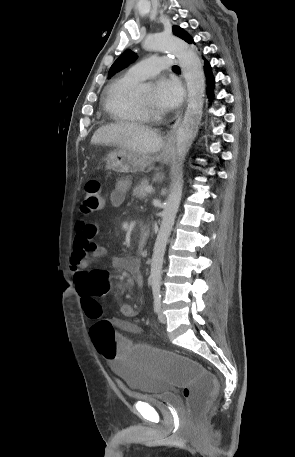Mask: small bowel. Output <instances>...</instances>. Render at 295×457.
<instances>
[{
    "label": "small bowel",
    "instance_id": "small-bowel-1",
    "mask_svg": "<svg viewBox=\"0 0 295 457\" xmlns=\"http://www.w3.org/2000/svg\"><path fill=\"white\" fill-rule=\"evenodd\" d=\"M128 187L129 183L125 180L117 183L115 189L110 194V204L113 207H120L123 204ZM96 233L97 227L93 222L87 219L77 221L75 226L74 251L70 259V270L79 293L82 285L87 280V268L90 264L91 257L109 256L108 250L93 240ZM109 258L112 266L124 268L134 277L138 286H143L140 263L136 258L116 256H109ZM90 272H93V270ZM120 312L124 318H133L136 315L133 306L127 303L121 305ZM113 324L126 332L136 333L139 331L136 325L124 319L116 318L113 320ZM127 341L131 340L127 338ZM109 361L112 362V360Z\"/></svg>",
    "mask_w": 295,
    "mask_h": 457
}]
</instances>
